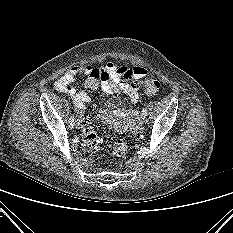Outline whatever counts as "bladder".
Masks as SVG:
<instances>
[{"instance_id": "obj_1", "label": "bladder", "mask_w": 233, "mask_h": 233, "mask_svg": "<svg viewBox=\"0 0 233 233\" xmlns=\"http://www.w3.org/2000/svg\"><path fill=\"white\" fill-rule=\"evenodd\" d=\"M117 107L116 104L110 103V102H105L102 106V114L106 115L108 114L111 110L115 109Z\"/></svg>"}]
</instances>
